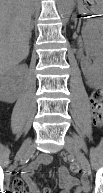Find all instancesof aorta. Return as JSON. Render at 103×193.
<instances>
[{
  "label": "aorta",
  "instance_id": "762f6f07",
  "mask_svg": "<svg viewBox=\"0 0 103 193\" xmlns=\"http://www.w3.org/2000/svg\"><path fill=\"white\" fill-rule=\"evenodd\" d=\"M74 0H57V9L63 18H68L73 11Z\"/></svg>",
  "mask_w": 103,
  "mask_h": 193
}]
</instances>
